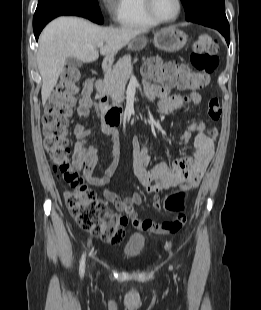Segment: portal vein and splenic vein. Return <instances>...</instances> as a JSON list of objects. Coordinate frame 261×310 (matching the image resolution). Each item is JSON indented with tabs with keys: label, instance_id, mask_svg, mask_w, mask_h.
Masks as SVG:
<instances>
[{
	"label": "portal vein and splenic vein",
	"instance_id": "18ae733b",
	"mask_svg": "<svg viewBox=\"0 0 261 310\" xmlns=\"http://www.w3.org/2000/svg\"><path fill=\"white\" fill-rule=\"evenodd\" d=\"M104 46V44L103 43H99V44H97V47H99V48H102Z\"/></svg>",
	"mask_w": 261,
	"mask_h": 310
}]
</instances>
